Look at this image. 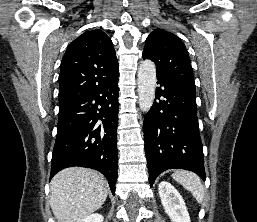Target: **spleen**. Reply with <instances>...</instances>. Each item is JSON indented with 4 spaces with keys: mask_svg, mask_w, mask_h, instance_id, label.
Wrapping results in <instances>:
<instances>
[{
    "mask_svg": "<svg viewBox=\"0 0 257 222\" xmlns=\"http://www.w3.org/2000/svg\"><path fill=\"white\" fill-rule=\"evenodd\" d=\"M173 179L180 183L185 189L190 191L198 203L204 199V187L200 178L189 171H177L172 174Z\"/></svg>",
    "mask_w": 257,
    "mask_h": 222,
    "instance_id": "3e777b00",
    "label": "spleen"
}]
</instances>
